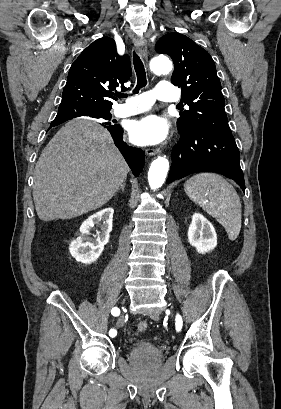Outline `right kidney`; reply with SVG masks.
Listing matches in <instances>:
<instances>
[{"mask_svg": "<svg viewBox=\"0 0 281 409\" xmlns=\"http://www.w3.org/2000/svg\"><path fill=\"white\" fill-rule=\"evenodd\" d=\"M114 209L111 207H106L102 211H98L95 215L88 217L80 227V235L70 243L69 251L79 263H85V265H91L94 263L98 257H100L104 245H107L112 231V219H113ZM103 221L101 227V233L97 237H89L91 235L90 231L94 229L96 223Z\"/></svg>", "mask_w": 281, "mask_h": 409, "instance_id": "ca27d5eb", "label": "right kidney"}]
</instances>
